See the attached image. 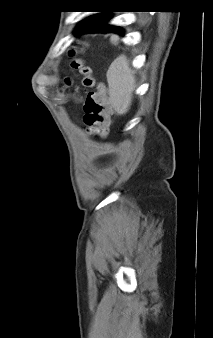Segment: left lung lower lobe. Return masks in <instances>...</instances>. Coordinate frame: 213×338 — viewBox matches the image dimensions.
Masks as SVG:
<instances>
[{"label": "left lung lower lobe", "mask_w": 213, "mask_h": 338, "mask_svg": "<svg viewBox=\"0 0 213 338\" xmlns=\"http://www.w3.org/2000/svg\"><path fill=\"white\" fill-rule=\"evenodd\" d=\"M107 20H109L108 15H96L94 17H90L80 24V26L75 30V34L80 35L83 33L114 32L123 35L122 29L106 24Z\"/></svg>", "instance_id": "1"}]
</instances>
